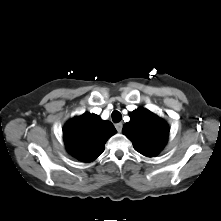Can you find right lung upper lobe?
<instances>
[{
  "label": "right lung upper lobe",
  "instance_id": "cb5924a9",
  "mask_svg": "<svg viewBox=\"0 0 221 221\" xmlns=\"http://www.w3.org/2000/svg\"><path fill=\"white\" fill-rule=\"evenodd\" d=\"M116 132L110 121L84 113L65 125L63 135L68 152L80 161L90 162L103 152L107 139Z\"/></svg>",
  "mask_w": 221,
  "mask_h": 221
}]
</instances>
